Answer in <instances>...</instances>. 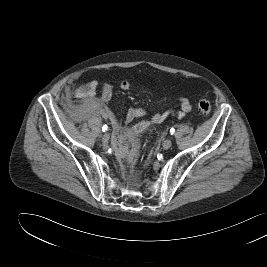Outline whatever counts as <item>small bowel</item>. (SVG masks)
<instances>
[{"instance_id":"obj_1","label":"small bowel","mask_w":267,"mask_h":267,"mask_svg":"<svg viewBox=\"0 0 267 267\" xmlns=\"http://www.w3.org/2000/svg\"><path fill=\"white\" fill-rule=\"evenodd\" d=\"M98 86L97 81H90L87 84L85 89V94L87 97L92 98L95 95L96 88ZM121 88L125 91L130 90L131 85L128 81H123L121 83ZM70 91V90H69ZM112 87L109 84H104L101 88V102L106 106L109 104L112 98ZM178 104L180 109L178 110H166L163 112L153 114L149 119L142 120L140 122L131 124L134 119L143 117L145 115V110L142 108H129L124 120V123L128 126L124 129H121L118 121L116 120L113 113L106 107L101 109V114L104 118L108 119L116 134L121 138H130L134 137L153 124H159L163 122L169 116H176L183 118L192 110V104L187 98H179Z\"/></svg>"}]
</instances>
